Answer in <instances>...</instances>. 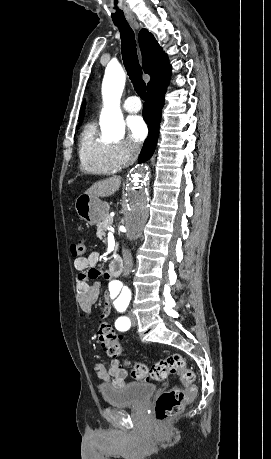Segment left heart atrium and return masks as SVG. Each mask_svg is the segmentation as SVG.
Listing matches in <instances>:
<instances>
[{
  "instance_id": "left-heart-atrium-1",
  "label": "left heart atrium",
  "mask_w": 271,
  "mask_h": 459,
  "mask_svg": "<svg viewBox=\"0 0 271 459\" xmlns=\"http://www.w3.org/2000/svg\"><path fill=\"white\" fill-rule=\"evenodd\" d=\"M128 132L134 143L142 142L147 135V127L144 120L140 116L131 117L128 121Z\"/></svg>"
}]
</instances>
